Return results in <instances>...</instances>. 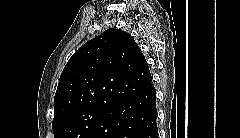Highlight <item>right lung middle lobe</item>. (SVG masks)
<instances>
[{"label": "right lung middle lobe", "mask_w": 240, "mask_h": 138, "mask_svg": "<svg viewBox=\"0 0 240 138\" xmlns=\"http://www.w3.org/2000/svg\"><path fill=\"white\" fill-rule=\"evenodd\" d=\"M106 112L90 108L60 117L52 122L54 138H88Z\"/></svg>", "instance_id": "dd1d6c3e"}]
</instances>
